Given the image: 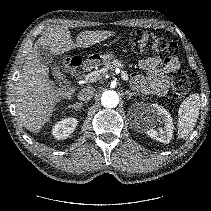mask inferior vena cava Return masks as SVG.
Listing matches in <instances>:
<instances>
[{
    "label": "inferior vena cava",
    "instance_id": "obj_1",
    "mask_svg": "<svg viewBox=\"0 0 211 211\" xmlns=\"http://www.w3.org/2000/svg\"><path fill=\"white\" fill-rule=\"evenodd\" d=\"M95 93V88L88 86L79 91L77 98L80 101H90Z\"/></svg>",
    "mask_w": 211,
    "mask_h": 211
}]
</instances>
